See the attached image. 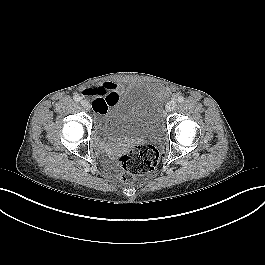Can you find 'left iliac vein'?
I'll list each match as a JSON object with an SVG mask.
<instances>
[{
    "label": "left iliac vein",
    "instance_id": "4c4485c4",
    "mask_svg": "<svg viewBox=\"0 0 265 265\" xmlns=\"http://www.w3.org/2000/svg\"><path fill=\"white\" fill-rule=\"evenodd\" d=\"M175 107H176V102L174 100H171L166 105V111L170 112V111L174 110Z\"/></svg>",
    "mask_w": 265,
    "mask_h": 265
}]
</instances>
